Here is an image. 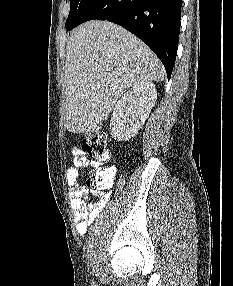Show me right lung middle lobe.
Masks as SVG:
<instances>
[{
	"label": "right lung middle lobe",
	"instance_id": "right-lung-middle-lobe-1",
	"mask_svg": "<svg viewBox=\"0 0 233 286\" xmlns=\"http://www.w3.org/2000/svg\"><path fill=\"white\" fill-rule=\"evenodd\" d=\"M90 0H70V12L66 21V29L72 26Z\"/></svg>",
	"mask_w": 233,
	"mask_h": 286
}]
</instances>
